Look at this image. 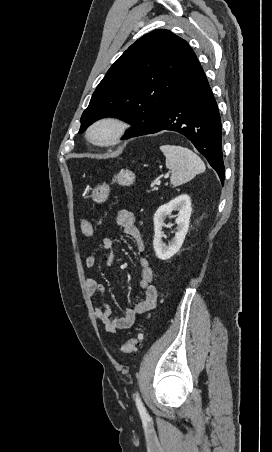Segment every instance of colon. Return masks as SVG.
Masks as SVG:
<instances>
[{"instance_id": "colon-1", "label": "colon", "mask_w": 272, "mask_h": 452, "mask_svg": "<svg viewBox=\"0 0 272 452\" xmlns=\"http://www.w3.org/2000/svg\"><path fill=\"white\" fill-rule=\"evenodd\" d=\"M81 231L87 237L92 236L94 234L92 223L88 220H82ZM144 336L145 334L143 332L137 333L133 338L122 343L120 351L125 355L133 354L136 351L137 346L144 339Z\"/></svg>"}]
</instances>
